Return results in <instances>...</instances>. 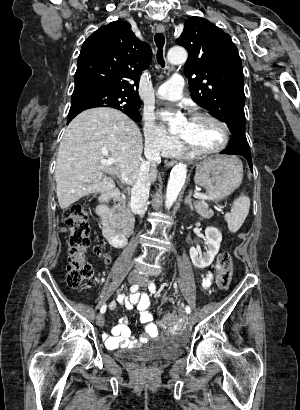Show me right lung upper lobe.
<instances>
[{
	"mask_svg": "<svg viewBox=\"0 0 300 410\" xmlns=\"http://www.w3.org/2000/svg\"><path fill=\"white\" fill-rule=\"evenodd\" d=\"M151 60V48L135 36L129 23L111 22L83 43L75 84L101 85L140 103L137 93L139 74L148 68Z\"/></svg>",
	"mask_w": 300,
	"mask_h": 410,
	"instance_id": "1",
	"label": "right lung upper lobe"
}]
</instances>
